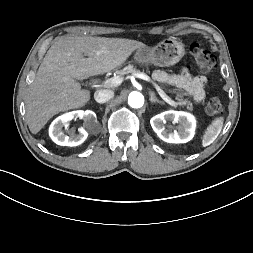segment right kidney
<instances>
[{"label":"right kidney","mask_w":253,"mask_h":253,"mask_svg":"<svg viewBox=\"0 0 253 253\" xmlns=\"http://www.w3.org/2000/svg\"><path fill=\"white\" fill-rule=\"evenodd\" d=\"M74 118H80L84 120L83 127L79 129V134L76 135L74 132H71L69 136L62 130L69 121ZM96 122V114L91 110H77L65 113L57 117L49 128V135L52 140L61 146H78L82 144L87 136V129Z\"/></svg>","instance_id":"obj_1"}]
</instances>
